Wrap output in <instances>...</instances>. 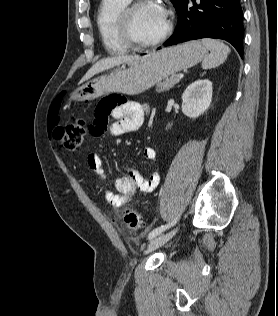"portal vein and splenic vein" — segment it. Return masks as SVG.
Masks as SVG:
<instances>
[{
    "mask_svg": "<svg viewBox=\"0 0 278 316\" xmlns=\"http://www.w3.org/2000/svg\"><path fill=\"white\" fill-rule=\"evenodd\" d=\"M183 77H184L183 74H179V75H178V78H179V79H182Z\"/></svg>",
    "mask_w": 278,
    "mask_h": 316,
    "instance_id": "portal-vein-and-splenic-vein-1",
    "label": "portal vein and splenic vein"
}]
</instances>
